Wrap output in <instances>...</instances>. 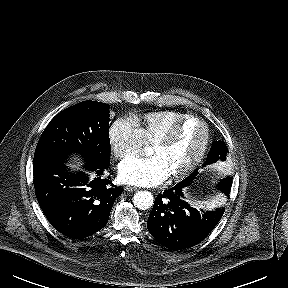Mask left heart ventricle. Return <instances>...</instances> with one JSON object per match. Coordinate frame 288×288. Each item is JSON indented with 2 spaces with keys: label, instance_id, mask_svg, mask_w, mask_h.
I'll list each match as a JSON object with an SVG mask.
<instances>
[{
  "label": "left heart ventricle",
  "instance_id": "b2bd125f",
  "mask_svg": "<svg viewBox=\"0 0 288 288\" xmlns=\"http://www.w3.org/2000/svg\"><path fill=\"white\" fill-rule=\"evenodd\" d=\"M204 128L197 121H189L167 145H152L151 154L160 156L170 174L181 172L198 155L204 141Z\"/></svg>",
  "mask_w": 288,
  "mask_h": 288
}]
</instances>
